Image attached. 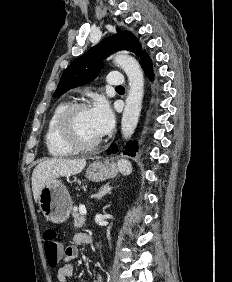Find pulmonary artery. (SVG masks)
<instances>
[{
  "mask_svg": "<svg viewBox=\"0 0 232 282\" xmlns=\"http://www.w3.org/2000/svg\"><path fill=\"white\" fill-rule=\"evenodd\" d=\"M107 83L112 86H121L124 83V78L121 73L113 71L108 74Z\"/></svg>",
  "mask_w": 232,
  "mask_h": 282,
  "instance_id": "e3ab8cb5",
  "label": "pulmonary artery"
}]
</instances>
